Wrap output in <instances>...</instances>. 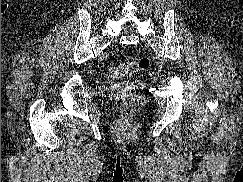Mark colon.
<instances>
[{
	"mask_svg": "<svg viewBox=\"0 0 243 182\" xmlns=\"http://www.w3.org/2000/svg\"><path fill=\"white\" fill-rule=\"evenodd\" d=\"M150 67V60L147 57H142L132 64L118 63L109 68V75L113 79H122L131 77L137 70H147ZM122 99V114L125 117H130L133 113V107L137 100L136 96L131 92H124L121 95Z\"/></svg>",
	"mask_w": 243,
	"mask_h": 182,
	"instance_id": "obj_1",
	"label": "colon"
}]
</instances>
